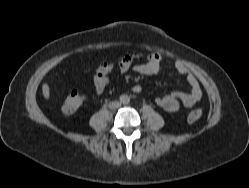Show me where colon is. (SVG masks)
Wrapping results in <instances>:
<instances>
[{"label": "colon", "instance_id": "5ec220e1", "mask_svg": "<svg viewBox=\"0 0 249 188\" xmlns=\"http://www.w3.org/2000/svg\"><path fill=\"white\" fill-rule=\"evenodd\" d=\"M85 100L86 98L83 94L79 93L78 91H72L64 99L62 109L66 113L73 112L81 107L84 104ZM201 116L202 110L195 109L188 114L187 120L188 122L193 123L199 120Z\"/></svg>", "mask_w": 249, "mask_h": 188}]
</instances>
